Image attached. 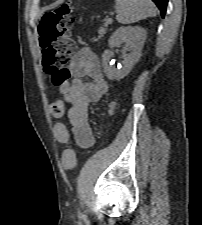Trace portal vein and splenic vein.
I'll list each match as a JSON object with an SVG mask.
<instances>
[{"instance_id": "1", "label": "portal vein and splenic vein", "mask_w": 202, "mask_h": 225, "mask_svg": "<svg viewBox=\"0 0 202 225\" xmlns=\"http://www.w3.org/2000/svg\"><path fill=\"white\" fill-rule=\"evenodd\" d=\"M107 22L110 24V23H112V18H108L107 19Z\"/></svg>"}]
</instances>
